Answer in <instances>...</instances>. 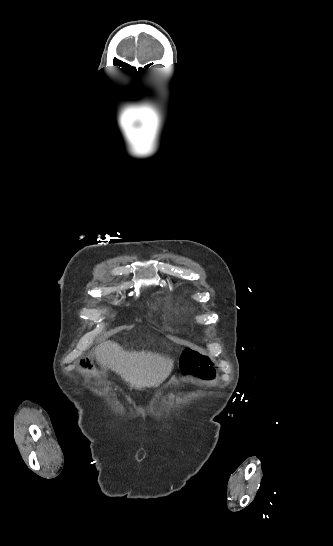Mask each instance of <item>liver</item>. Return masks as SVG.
Here are the masks:
<instances>
[{
    "label": "liver",
    "mask_w": 333,
    "mask_h": 546,
    "mask_svg": "<svg viewBox=\"0 0 333 546\" xmlns=\"http://www.w3.org/2000/svg\"><path fill=\"white\" fill-rule=\"evenodd\" d=\"M93 354L101 367L113 370L136 389L159 386L173 368L169 358L151 352L125 351L112 341L99 344Z\"/></svg>",
    "instance_id": "1"
}]
</instances>
